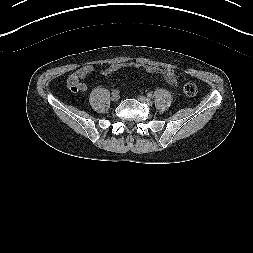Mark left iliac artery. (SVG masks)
Listing matches in <instances>:
<instances>
[{"instance_id":"left-iliac-artery-1","label":"left iliac artery","mask_w":253,"mask_h":253,"mask_svg":"<svg viewBox=\"0 0 253 253\" xmlns=\"http://www.w3.org/2000/svg\"><path fill=\"white\" fill-rule=\"evenodd\" d=\"M147 96H148L149 98H153V94H152V93H148Z\"/></svg>"}]
</instances>
